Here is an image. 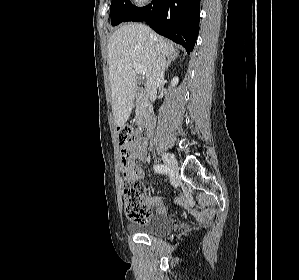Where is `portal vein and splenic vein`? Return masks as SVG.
I'll use <instances>...</instances> for the list:
<instances>
[{"instance_id":"18ae733b","label":"portal vein and splenic vein","mask_w":299,"mask_h":280,"mask_svg":"<svg viewBox=\"0 0 299 280\" xmlns=\"http://www.w3.org/2000/svg\"><path fill=\"white\" fill-rule=\"evenodd\" d=\"M134 70L136 71V73L140 74V75H145L147 72L146 67L142 66L139 63H135L134 64Z\"/></svg>"}]
</instances>
